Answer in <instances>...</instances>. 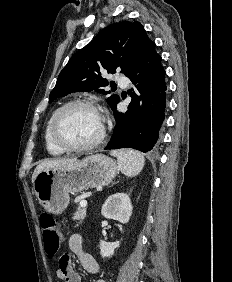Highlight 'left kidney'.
<instances>
[{
    "label": "left kidney",
    "instance_id": "left-kidney-1",
    "mask_svg": "<svg viewBox=\"0 0 232 282\" xmlns=\"http://www.w3.org/2000/svg\"><path fill=\"white\" fill-rule=\"evenodd\" d=\"M132 204L129 196L125 193H116L107 198L102 206L101 213L108 219L117 220L123 224L128 223L132 214ZM120 246L119 241L107 243L100 241V254L102 257H111L116 248Z\"/></svg>",
    "mask_w": 232,
    "mask_h": 282
}]
</instances>
